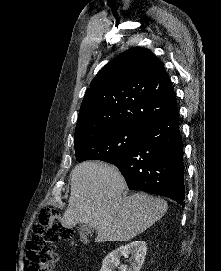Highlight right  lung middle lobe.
Wrapping results in <instances>:
<instances>
[{"instance_id":"1","label":"right lung middle lobe","mask_w":221,"mask_h":271,"mask_svg":"<svg viewBox=\"0 0 221 271\" xmlns=\"http://www.w3.org/2000/svg\"><path fill=\"white\" fill-rule=\"evenodd\" d=\"M142 127L117 125L74 139L78 162L103 160L114 163L125 155L138 141Z\"/></svg>"}]
</instances>
